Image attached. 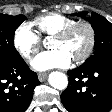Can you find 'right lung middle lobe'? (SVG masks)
I'll return each mask as SVG.
<instances>
[{
	"mask_svg": "<svg viewBox=\"0 0 112 112\" xmlns=\"http://www.w3.org/2000/svg\"><path fill=\"white\" fill-rule=\"evenodd\" d=\"M25 20L24 15L0 14V65L21 57L14 47V33Z\"/></svg>",
	"mask_w": 112,
	"mask_h": 112,
	"instance_id": "obj_1",
	"label": "right lung middle lobe"
}]
</instances>
